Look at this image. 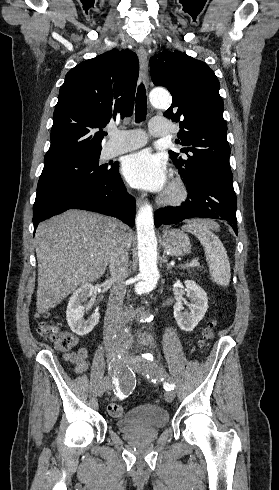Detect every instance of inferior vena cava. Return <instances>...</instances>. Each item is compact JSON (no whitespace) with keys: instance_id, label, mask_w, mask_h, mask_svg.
<instances>
[{"instance_id":"obj_1","label":"inferior vena cava","mask_w":279,"mask_h":490,"mask_svg":"<svg viewBox=\"0 0 279 490\" xmlns=\"http://www.w3.org/2000/svg\"><path fill=\"white\" fill-rule=\"evenodd\" d=\"M118 228L121 222H116ZM128 244L123 232L117 230L109 258L110 278L113 288L110 292L105 320L110 326L121 324L123 302L126 294L125 278H128Z\"/></svg>"}]
</instances>
